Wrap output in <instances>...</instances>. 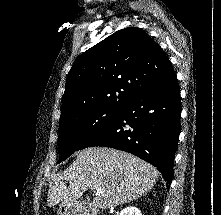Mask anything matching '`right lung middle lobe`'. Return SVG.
I'll return each mask as SVG.
<instances>
[{"label": "right lung middle lobe", "instance_id": "1", "mask_svg": "<svg viewBox=\"0 0 221 215\" xmlns=\"http://www.w3.org/2000/svg\"><path fill=\"white\" fill-rule=\"evenodd\" d=\"M118 112V109L92 108L72 113L60 119L59 163L77 151L85 140L114 122Z\"/></svg>", "mask_w": 221, "mask_h": 215}]
</instances>
